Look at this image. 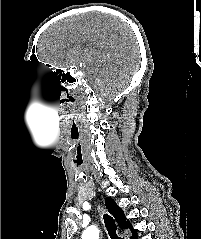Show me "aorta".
<instances>
[{"label": "aorta", "instance_id": "obj_1", "mask_svg": "<svg viewBox=\"0 0 201 239\" xmlns=\"http://www.w3.org/2000/svg\"><path fill=\"white\" fill-rule=\"evenodd\" d=\"M82 239H99V230L95 226L88 227L83 232Z\"/></svg>", "mask_w": 201, "mask_h": 239}]
</instances>
